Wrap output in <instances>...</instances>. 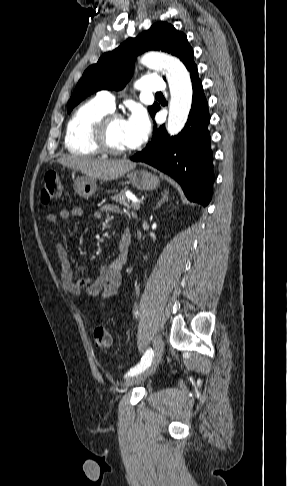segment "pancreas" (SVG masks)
I'll use <instances>...</instances> for the list:
<instances>
[{
  "instance_id": "obj_1",
  "label": "pancreas",
  "mask_w": 287,
  "mask_h": 486,
  "mask_svg": "<svg viewBox=\"0 0 287 486\" xmlns=\"http://www.w3.org/2000/svg\"><path fill=\"white\" fill-rule=\"evenodd\" d=\"M113 201L121 204V205H124L127 210H129L131 208L130 206V201L129 199L126 197V194H125V191H121L119 194L117 195H114L112 197ZM134 208V207H133ZM135 210L139 209V208H134Z\"/></svg>"
}]
</instances>
